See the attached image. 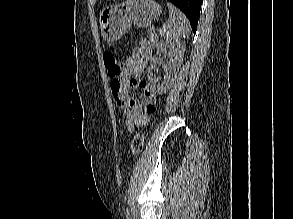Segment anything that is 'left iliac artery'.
Segmentation results:
<instances>
[{
  "label": "left iliac artery",
  "mask_w": 293,
  "mask_h": 219,
  "mask_svg": "<svg viewBox=\"0 0 293 219\" xmlns=\"http://www.w3.org/2000/svg\"><path fill=\"white\" fill-rule=\"evenodd\" d=\"M126 219H131V217H130V212H129V210H128V208H126Z\"/></svg>",
  "instance_id": "obj_1"
}]
</instances>
